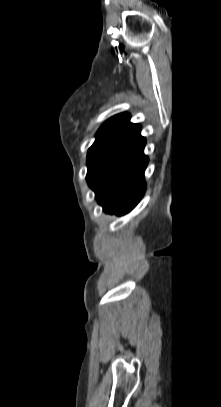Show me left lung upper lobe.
Wrapping results in <instances>:
<instances>
[{
  "mask_svg": "<svg viewBox=\"0 0 221 407\" xmlns=\"http://www.w3.org/2000/svg\"><path fill=\"white\" fill-rule=\"evenodd\" d=\"M130 124V115L122 113L110 118L99 128L96 133V140L88 150L87 174L100 156Z\"/></svg>",
  "mask_w": 221,
  "mask_h": 407,
  "instance_id": "1",
  "label": "left lung upper lobe"
}]
</instances>
